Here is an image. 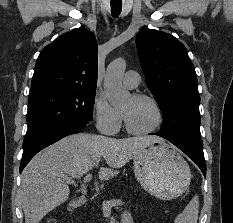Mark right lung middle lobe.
Masks as SVG:
<instances>
[{
  "instance_id": "obj_1",
  "label": "right lung middle lobe",
  "mask_w": 233,
  "mask_h": 223,
  "mask_svg": "<svg viewBox=\"0 0 233 223\" xmlns=\"http://www.w3.org/2000/svg\"><path fill=\"white\" fill-rule=\"evenodd\" d=\"M96 89L56 88L31 94L28 98V132L24 147L75 119L92 120Z\"/></svg>"
}]
</instances>
